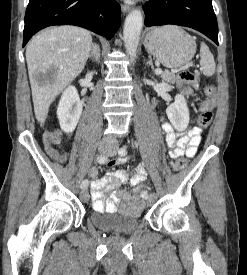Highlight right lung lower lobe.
<instances>
[{
    "instance_id": "obj_1",
    "label": "right lung lower lobe",
    "mask_w": 247,
    "mask_h": 275,
    "mask_svg": "<svg viewBox=\"0 0 247 275\" xmlns=\"http://www.w3.org/2000/svg\"><path fill=\"white\" fill-rule=\"evenodd\" d=\"M120 15L115 0H30L23 47L36 32L52 25L84 27L109 40L120 26Z\"/></svg>"
}]
</instances>
